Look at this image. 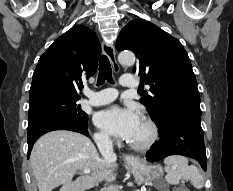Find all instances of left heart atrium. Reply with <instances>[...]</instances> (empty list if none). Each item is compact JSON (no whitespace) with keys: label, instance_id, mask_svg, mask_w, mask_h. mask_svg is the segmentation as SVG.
<instances>
[{"label":"left heart atrium","instance_id":"39dd6f15","mask_svg":"<svg viewBox=\"0 0 233 191\" xmlns=\"http://www.w3.org/2000/svg\"><path fill=\"white\" fill-rule=\"evenodd\" d=\"M141 122L139 113L134 108L113 106L98 112L95 123L110 134L130 140Z\"/></svg>","mask_w":233,"mask_h":191}]
</instances>
